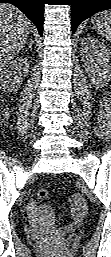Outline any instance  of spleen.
Returning a JSON list of instances; mask_svg holds the SVG:
<instances>
[{"label":"spleen","instance_id":"3e777b00","mask_svg":"<svg viewBox=\"0 0 111 257\" xmlns=\"http://www.w3.org/2000/svg\"><path fill=\"white\" fill-rule=\"evenodd\" d=\"M92 23L98 33L111 42V10L94 15Z\"/></svg>","mask_w":111,"mask_h":257}]
</instances>
